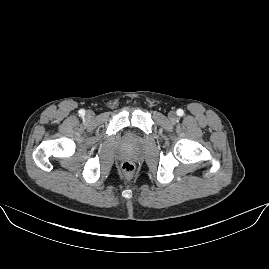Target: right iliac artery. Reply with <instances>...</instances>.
Returning a JSON list of instances; mask_svg holds the SVG:
<instances>
[{"label":"right iliac artery","mask_w":269,"mask_h":269,"mask_svg":"<svg viewBox=\"0 0 269 269\" xmlns=\"http://www.w3.org/2000/svg\"><path fill=\"white\" fill-rule=\"evenodd\" d=\"M78 113H79L80 116H84L85 115V110L84 109H81V110H79Z\"/></svg>","instance_id":"obj_1"}]
</instances>
